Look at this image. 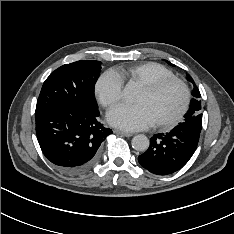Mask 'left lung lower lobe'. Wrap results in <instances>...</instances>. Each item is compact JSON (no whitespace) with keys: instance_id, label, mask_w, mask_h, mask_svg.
Masks as SVG:
<instances>
[{"instance_id":"1","label":"left lung lower lobe","mask_w":234,"mask_h":234,"mask_svg":"<svg viewBox=\"0 0 234 234\" xmlns=\"http://www.w3.org/2000/svg\"><path fill=\"white\" fill-rule=\"evenodd\" d=\"M200 132L177 125L170 132L155 134L148 150L138 157L141 166L157 175L181 169L194 154Z\"/></svg>"}]
</instances>
